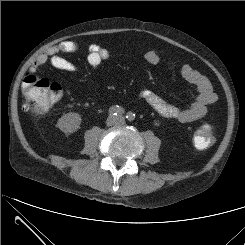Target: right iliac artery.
Instances as JSON below:
<instances>
[{"label": "right iliac artery", "instance_id": "right-iliac-artery-1", "mask_svg": "<svg viewBox=\"0 0 245 245\" xmlns=\"http://www.w3.org/2000/svg\"><path fill=\"white\" fill-rule=\"evenodd\" d=\"M125 110L120 107V106H112L110 109H109V114L110 115H121V114H124Z\"/></svg>", "mask_w": 245, "mask_h": 245}]
</instances>
